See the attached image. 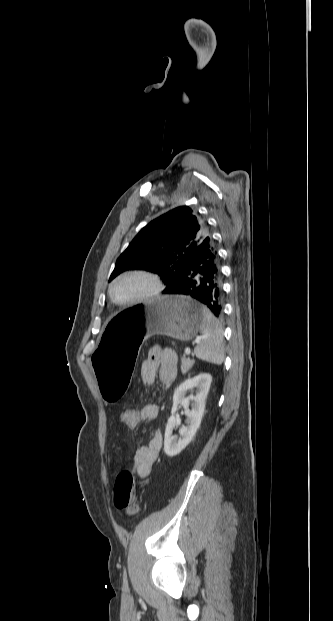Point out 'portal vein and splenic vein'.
Returning a JSON list of instances; mask_svg holds the SVG:
<instances>
[{
  "mask_svg": "<svg viewBox=\"0 0 333 621\" xmlns=\"http://www.w3.org/2000/svg\"><path fill=\"white\" fill-rule=\"evenodd\" d=\"M201 339H202L201 337L197 338V339L195 340V343H199V342L201 341ZM190 353H191L190 348H186V349H185V354H190Z\"/></svg>",
  "mask_w": 333,
  "mask_h": 621,
  "instance_id": "18ae733b",
  "label": "portal vein and splenic vein"
}]
</instances>
